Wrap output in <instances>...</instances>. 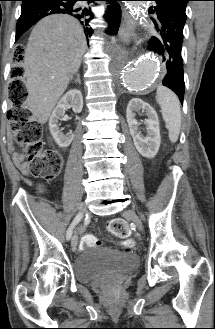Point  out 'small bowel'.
Listing matches in <instances>:
<instances>
[{"label": "small bowel", "instance_id": "c3829d8e", "mask_svg": "<svg viewBox=\"0 0 215 329\" xmlns=\"http://www.w3.org/2000/svg\"><path fill=\"white\" fill-rule=\"evenodd\" d=\"M11 150H12V153H13L14 161H15L16 165L18 166V168H19L22 172L27 173V171H28V170H27V164L23 161V157H22V155L19 154V153H17V152H15V151L13 150V147L11 148ZM44 189H45V187H44L42 184H40V185L38 186V190H39V192H43Z\"/></svg>", "mask_w": 215, "mask_h": 329}]
</instances>
